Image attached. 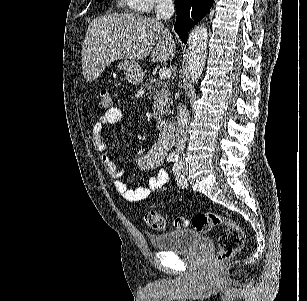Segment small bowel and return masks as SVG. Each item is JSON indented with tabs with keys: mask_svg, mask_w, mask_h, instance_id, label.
<instances>
[{
	"mask_svg": "<svg viewBox=\"0 0 307 301\" xmlns=\"http://www.w3.org/2000/svg\"><path fill=\"white\" fill-rule=\"evenodd\" d=\"M124 118L122 108L113 106L107 110L99 120L93 125L91 137L95 147L99 151L106 149L104 138V128L109 125H118ZM170 148L168 138L161 139L153 145L144 155L137 159V165L142 170H155V174L150 178L147 187L130 188L122 180V171L119 166L107 155L102 154L101 160L107 173L113 178L117 192L127 201L139 202L145 200L151 193L160 194L167 189L168 174L162 167L164 157Z\"/></svg>",
	"mask_w": 307,
	"mask_h": 301,
	"instance_id": "1",
	"label": "small bowel"
}]
</instances>
